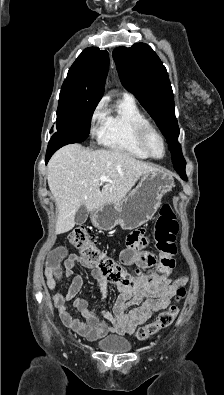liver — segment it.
Masks as SVG:
<instances>
[{
	"label": "liver",
	"mask_w": 224,
	"mask_h": 395,
	"mask_svg": "<svg viewBox=\"0 0 224 395\" xmlns=\"http://www.w3.org/2000/svg\"><path fill=\"white\" fill-rule=\"evenodd\" d=\"M50 191L58 209L56 234L75 226V214L85 204L93 212L107 203H117L145 173L157 170L119 150H92L79 144L59 149L47 168ZM106 181L100 190V177Z\"/></svg>",
	"instance_id": "6515ba94"
}]
</instances>
